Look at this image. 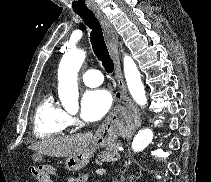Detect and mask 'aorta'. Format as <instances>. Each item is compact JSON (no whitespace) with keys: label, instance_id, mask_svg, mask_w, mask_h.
I'll list each match as a JSON object with an SVG mask.
<instances>
[{"label":"aorta","instance_id":"aorta-1","mask_svg":"<svg viewBox=\"0 0 211 182\" xmlns=\"http://www.w3.org/2000/svg\"><path fill=\"white\" fill-rule=\"evenodd\" d=\"M83 50L68 51L61 59L58 69V94L63 106L66 108L78 107V85L77 74L85 60ZM124 75L129 92L133 100L144 107L147 104V98L141 81L140 72L133 59L124 56ZM153 139V131L149 128L142 129L132 141L134 152H140L145 149Z\"/></svg>","mask_w":211,"mask_h":182}]
</instances>
